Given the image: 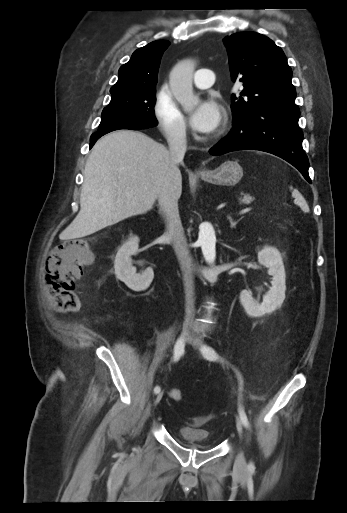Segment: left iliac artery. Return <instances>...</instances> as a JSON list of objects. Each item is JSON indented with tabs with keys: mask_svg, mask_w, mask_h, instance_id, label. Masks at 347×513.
<instances>
[{
	"mask_svg": "<svg viewBox=\"0 0 347 513\" xmlns=\"http://www.w3.org/2000/svg\"><path fill=\"white\" fill-rule=\"evenodd\" d=\"M201 351L203 353V356L207 360L216 361V360L219 359V356H218L217 352L212 347H210V346L203 345ZM237 375H238V379L240 381V390H241L242 389V382L243 381H242V378H241V375L239 374V372H237ZM238 411H239V416L241 418V421H242L243 425L245 427H248L249 426L248 418H247V415H246L243 407L241 406V404L239 405ZM248 467H249L250 470H253L255 468L253 462H250Z\"/></svg>",
	"mask_w": 347,
	"mask_h": 513,
	"instance_id": "1",
	"label": "left iliac artery"
}]
</instances>
